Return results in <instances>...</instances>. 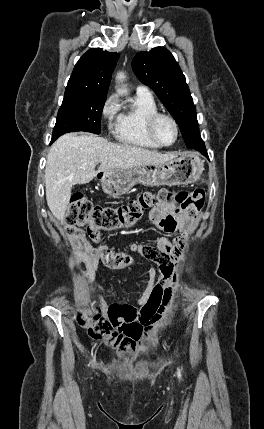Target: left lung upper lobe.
<instances>
[{"label": "left lung upper lobe", "instance_id": "obj_1", "mask_svg": "<svg viewBox=\"0 0 264 429\" xmlns=\"http://www.w3.org/2000/svg\"><path fill=\"white\" fill-rule=\"evenodd\" d=\"M138 79L153 89L176 120L188 148L206 150L189 87L173 55L163 47L139 52L132 63Z\"/></svg>", "mask_w": 264, "mask_h": 429}]
</instances>
